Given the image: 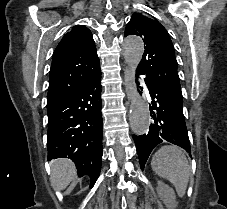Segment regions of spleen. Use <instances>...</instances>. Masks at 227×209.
Wrapping results in <instances>:
<instances>
[{"label":"spleen","instance_id":"3e777b00","mask_svg":"<svg viewBox=\"0 0 227 209\" xmlns=\"http://www.w3.org/2000/svg\"><path fill=\"white\" fill-rule=\"evenodd\" d=\"M151 167L156 175L174 185L178 197H184L189 183L190 167L182 149L176 145L161 147L152 157Z\"/></svg>","mask_w":227,"mask_h":209}]
</instances>
